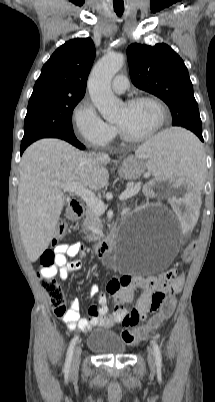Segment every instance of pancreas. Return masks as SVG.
Masks as SVG:
<instances>
[{
  "label": "pancreas",
  "mask_w": 215,
  "mask_h": 402,
  "mask_svg": "<svg viewBox=\"0 0 215 402\" xmlns=\"http://www.w3.org/2000/svg\"><path fill=\"white\" fill-rule=\"evenodd\" d=\"M137 185L138 184H135L134 186ZM102 227L103 224L100 218V214L94 212L92 209L88 207L85 212V218L82 222V228L84 233L87 234V232H91V234L86 235V239L88 241L98 240L101 235Z\"/></svg>",
  "instance_id": "pancreas-1"
}]
</instances>
